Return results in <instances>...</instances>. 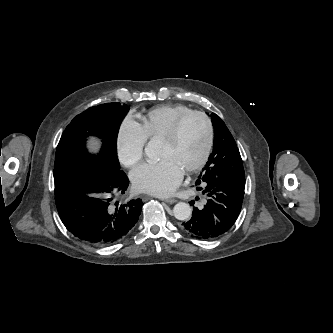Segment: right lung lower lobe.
<instances>
[{
    "label": "right lung lower lobe",
    "mask_w": 333,
    "mask_h": 333,
    "mask_svg": "<svg viewBox=\"0 0 333 333\" xmlns=\"http://www.w3.org/2000/svg\"><path fill=\"white\" fill-rule=\"evenodd\" d=\"M128 185L125 173L108 163L55 183L56 207L63 224L92 245L118 242L135 226L143 206L141 199L121 204L112 201Z\"/></svg>",
    "instance_id": "1"
}]
</instances>
